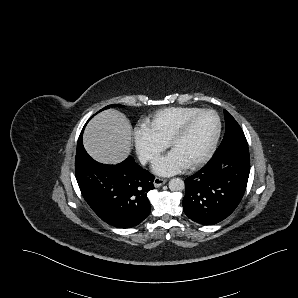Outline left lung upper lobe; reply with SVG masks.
I'll use <instances>...</instances> for the list:
<instances>
[{
  "mask_svg": "<svg viewBox=\"0 0 298 298\" xmlns=\"http://www.w3.org/2000/svg\"><path fill=\"white\" fill-rule=\"evenodd\" d=\"M224 116L226 123L225 135L218 148L223 147L225 144L233 141L234 139L245 137L239 124L226 110H224Z\"/></svg>",
  "mask_w": 298,
  "mask_h": 298,
  "instance_id": "left-lung-upper-lobe-1",
  "label": "left lung upper lobe"
}]
</instances>
